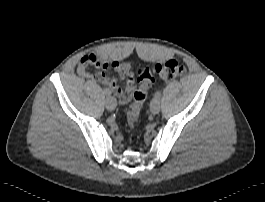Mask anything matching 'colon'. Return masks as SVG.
Here are the masks:
<instances>
[{"label": "colon", "instance_id": "colon-1", "mask_svg": "<svg viewBox=\"0 0 265 202\" xmlns=\"http://www.w3.org/2000/svg\"><path fill=\"white\" fill-rule=\"evenodd\" d=\"M185 66L179 60H168L163 64H157L153 69L145 68L138 72V89L133 94V102L128 111L129 124L135 128L138 123V116L146 99L147 92L156 81V74L163 81H173L185 74Z\"/></svg>", "mask_w": 265, "mask_h": 202}]
</instances>
